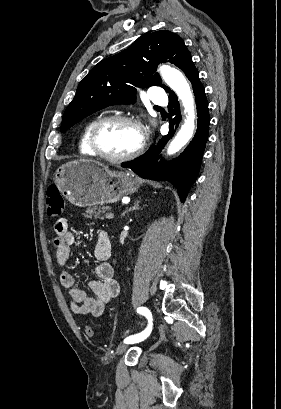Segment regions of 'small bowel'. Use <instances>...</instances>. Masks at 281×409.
I'll list each match as a JSON object with an SVG mask.
<instances>
[{"mask_svg":"<svg viewBox=\"0 0 281 409\" xmlns=\"http://www.w3.org/2000/svg\"><path fill=\"white\" fill-rule=\"evenodd\" d=\"M53 234L57 263L65 266L70 259V247L76 243V235L69 230V223L65 218L58 219L53 224ZM111 255L112 244L109 235L99 230L94 247V257L97 260L94 272L98 280L89 283L94 292L93 297L75 286L73 273L63 271L60 274L61 285L69 291V306L73 313L100 317L106 305L119 295L120 285L115 279L113 266L108 262Z\"/></svg>","mask_w":281,"mask_h":409,"instance_id":"small-bowel-1","label":"small bowel"}]
</instances>
